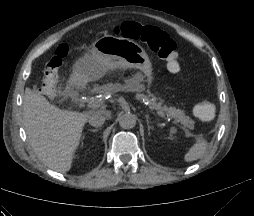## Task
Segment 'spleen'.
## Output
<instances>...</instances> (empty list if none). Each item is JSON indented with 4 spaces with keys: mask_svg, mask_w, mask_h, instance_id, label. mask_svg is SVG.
Masks as SVG:
<instances>
[{
    "mask_svg": "<svg viewBox=\"0 0 254 216\" xmlns=\"http://www.w3.org/2000/svg\"><path fill=\"white\" fill-rule=\"evenodd\" d=\"M208 147V142L203 139L199 138L197 141L190 147L188 152L184 155V160L186 162H193L195 160L201 159Z\"/></svg>",
    "mask_w": 254,
    "mask_h": 216,
    "instance_id": "3e777b00",
    "label": "spleen"
}]
</instances>
